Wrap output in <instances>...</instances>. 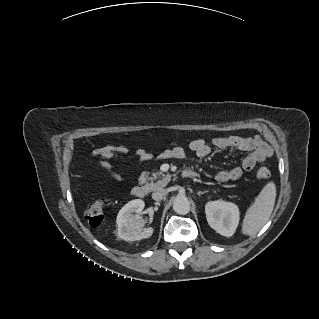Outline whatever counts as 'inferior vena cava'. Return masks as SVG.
Listing matches in <instances>:
<instances>
[{
  "mask_svg": "<svg viewBox=\"0 0 319 319\" xmlns=\"http://www.w3.org/2000/svg\"><path fill=\"white\" fill-rule=\"evenodd\" d=\"M167 195L166 189L159 188L152 193V198L156 201L162 200Z\"/></svg>",
  "mask_w": 319,
  "mask_h": 319,
  "instance_id": "1",
  "label": "inferior vena cava"
}]
</instances>
